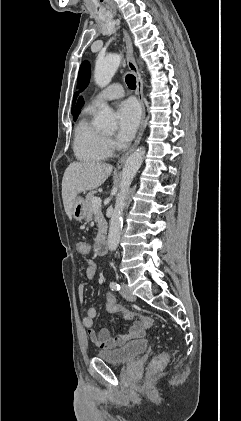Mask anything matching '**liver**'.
Masks as SVG:
<instances>
[{
  "mask_svg": "<svg viewBox=\"0 0 241 421\" xmlns=\"http://www.w3.org/2000/svg\"><path fill=\"white\" fill-rule=\"evenodd\" d=\"M112 165L97 162H72L62 179V199L64 209L72 219V207L80 193L100 187L112 172Z\"/></svg>",
  "mask_w": 241,
  "mask_h": 421,
  "instance_id": "1",
  "label": "liver"
}]
</instances>
